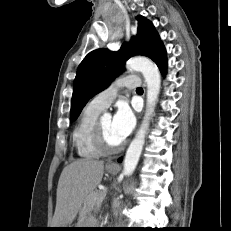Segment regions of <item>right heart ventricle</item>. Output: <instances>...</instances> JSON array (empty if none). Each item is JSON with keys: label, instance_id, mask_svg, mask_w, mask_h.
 <instances>
[{"label": "right heart ventricle", "instance_id": "obj_1", "mask_svg": "<svg viewBox=\"0 0 231 231\" xmlns=\"http://www.w3.org/2000/svg\"><path fill=\"white\" fill-rule=\"evenodd\" d=\"M101 110L90 104L83 110L72 134L73 145L79 157L95 159L102 156V152L94 142V128Z\"/></svg>", "mask_w": 231, "mask_h": 231}]
</instances>
